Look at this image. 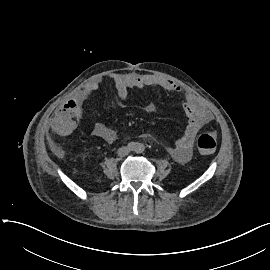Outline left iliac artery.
<instances>
[{
  "instance_id": "44dca946",
  "label": "left iliac artery",
  "mask_w": 270,
  "mask_h": 270,
  "mask_svg": "<svg viewBox=\"0 0 270 270\" xmlns=\"http://www.w3.org/2000/svg\"><path fill=\"white\" fill-rule=\"evenodd\" d=\"M144 148L142 145H139L138 148H137V151L138 152H143Z\"/></svg>"
}]
</instances>
